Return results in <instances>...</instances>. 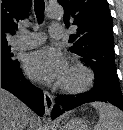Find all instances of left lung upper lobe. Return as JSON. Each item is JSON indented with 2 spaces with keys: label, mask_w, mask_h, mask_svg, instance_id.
Wrapping results in <instances>:
<instances>
[{
  "label": "left lung upper lobe",
  "mask_w": 123,
  "mask_h": 130,
  "mask_svg": "<svg viewBox=\"0 0 123 130\" xmlns=\"http://www.w3.org/2000/svg\"><path fill=\"white\" fill-rule=\"evenodd\" d=\"M64 8V22L74 25L70 50L81 57L95 73L97 83L120 89L115 69L113 21L107 0H58Z\"/></svg>",
  "instance_id": "left-lung-upper-lobe-1"
}]
</instances>
